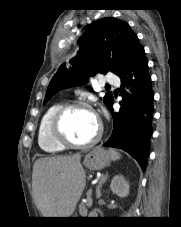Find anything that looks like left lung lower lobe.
Masks as SVG:
<instances>
[{"mask_svg":"<svg viewBox=\"0 0 181 227\" xmlns=\"http://www.w3.org/2000/svg\"><path fill=\"white\" fill-rule=\"evenodd\" d=\"M119 77L122 87L132 86L133 94L124 92L119 112L113 111L114 99L108 106L113 116L114 128L103 146L127 151L145 170L152 135L154 96L145 51L139 43L131 52Z\"/></svg>","mask_w":181,"mask_h":227,"instance_id":"obj_1","label":"left lung lower lobe"}]
</instances>
